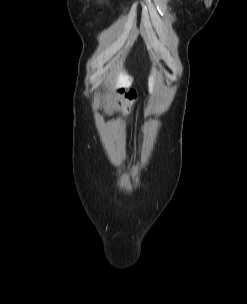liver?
Listing matches in <instances>:
<instances>
[{
    "mask_svg": "<svg viewBox=\"0 0 247 304\" xmlns=\"http://www.w3.org/2000/svg\"><path fill=\"white\" fill-rule=\"evenodd\" d=\"M155 69H153V75L149 78V90H153L154 86V77H155ZM132 84V81L129 80V76L126 73L120 72L117 76L116 86H122V87H130Z\"/></svg>",
    "mask_w": 247,
    "mask_h": 304,
    "instance_id": "6515ba94",
    "label": "liver"
}]
</instances>
